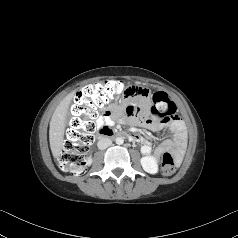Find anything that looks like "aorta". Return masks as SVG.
I'll return each instance as SVG.
<instances>
[{
    "label": "aorta",
    "instance_id": "aorta-1",
    "mask_svg": "<svg viewBox=\"0 0 238 238\" xmlns=\"http://www.w3.org/2000/svg\"><path fill=\"white\" fill-rule=\"evenodd\" d=\"M115 141H116V144L121 145V144L124 143V138H122V137H117Z\"/></svg>",
    "mask_w": 238,
    "mask_h": 238
}]
</instances>
